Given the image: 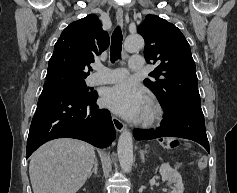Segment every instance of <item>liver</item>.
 Instances as JSON below:
<instances>
[{
	"instance_id": "6515ba94",
	"label": "liver",
	"mask_w": 237,
	"mask_h": 193,
	"mask_svg": "<svg viewBox=\"0 0 237 193\" xmlns=\"http://www.w3.org/2000/svg\"><path fill=\"white\" fill-rule=\"evenodd\" d=\"M95 161L94 147L71 138L51 140L31 156L29 176L33 193H76Z\"/></svg>"
}]
</instances>
